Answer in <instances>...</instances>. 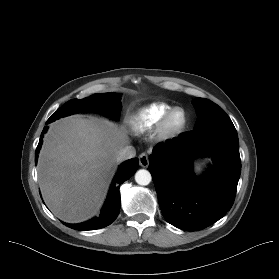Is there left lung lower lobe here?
<instances>
[{"label":"left lung lower lobe","instance_id":"0a47b994","mask_svg":"<svg viewBox=\"0 0 279 279\" xmlns=\"http://www.w3.org/2000/svg\"><path fill=\"white\" fill-rule=\"evenodd\" d=\"M212 155L214 165L199 179L196 156ZM159 205L167 222L197 231L221 219L233 205L241 171L234 125H213L157 144L149 157Z\"/></svg>","mask_w":279,"mask_h":279}]
</instances>
